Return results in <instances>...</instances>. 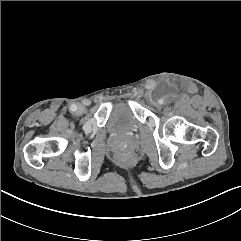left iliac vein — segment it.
<instances>
[{"label": "left iliac vein", "instance_id": "1", "mask_svg": "<svg viewBox=\"0 0 241 241\" xmlns=\"http://www.w3.org/2000/svg\"><path fill=\"white\" fill-rule=\"evenodd\" d=\"M154 105H155V106H157V107L159 106V104H158V103H156V102H154Z\"/></svg>", "mask_w": 241, "mask_h": 241}]
</instances>
